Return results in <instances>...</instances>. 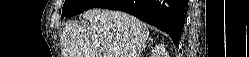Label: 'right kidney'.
<instances>
[{
	"mask_svg": "<svg viewBox=\"0 0 249 57\" xmlns=\"http://www.w3.org/2000/svg\"><path fill=\"white\" fill-rule=\"evenodd\" d=\"M160 49H161V52L165 55V57H167V53L165 51V48L163 46H161Z\"/></svg>",
	"mask_w": 249,
	"mask_h": 57,
	"instance_id": "1",
	"label": "right kidney"
}]
</instances>
